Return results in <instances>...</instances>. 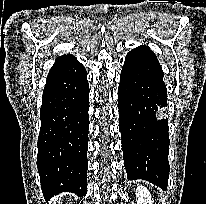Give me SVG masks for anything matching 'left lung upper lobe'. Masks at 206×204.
<instances>
[{"instance_id":"obj_1","label":"left lung upper lobe","mask_w":206,"mask_h":204,"mask_svg":"<svg viewBox=\"0 0 206 204\" xmlns=\"http://www.w3.org/2000/svg\"><path fill=\"white\" fill-rule=\"evenodd\" d=\"M126 58H128L132 65H135L141 61L150 60L156 58L155 54L147 46H140L130 51Z\"/></svg>"}]
</instances>
